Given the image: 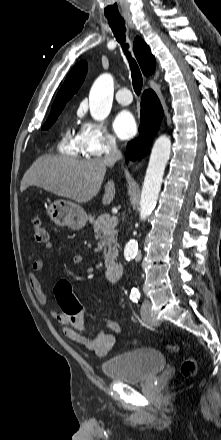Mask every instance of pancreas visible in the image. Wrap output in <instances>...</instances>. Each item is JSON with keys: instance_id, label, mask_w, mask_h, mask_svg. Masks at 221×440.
Returning a JSON list of instances; mask_svg holds the SVG:
<instances>
[{"instance_id": "1", "label": "pancreas", "mask_w": 221, "mask_h": 440, "mask_svg": "<svg viewBox=\"0 0 221 440\" xmlns=\"http://www.w3.org/2000/svg\"><path fill=\"white\" fill-rule=\"evenodd\" d=\"M111 217L109 214L100 215L93 223L94 232L97 237L107 245L105 248V257L108 259H115L118 256L117 247V231L109 224ZM102 234V236H101ZM108 251V253H106Z\"/></svg>"}]
</instances>
